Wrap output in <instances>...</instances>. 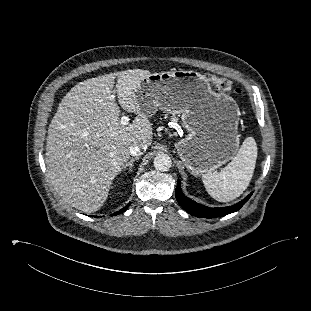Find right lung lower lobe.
<instances>
[{"instance_id": "1", "label": "right lung lower lobe", "mask_w": 311, "mask_h": 311, "mask_svg": "<svg viewBox=\"0 0 311 311\" xmlns=\"http://www.w3.org/2000/svg\"><path fill=\"white\" fill-rule=\"evenodd\" d=\"M127 207H128V205L125 206L124 208H122L120 211H118V212H116V213H114L112 215H117V214H120V213L124 212L127 209Z\"/></svg>"}]
</instances>
